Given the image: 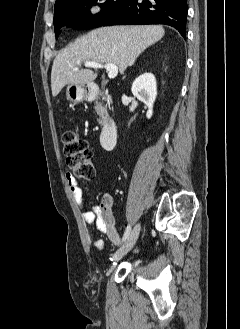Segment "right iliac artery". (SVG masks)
<instances>
[{"label": "right iliac artery", "instance_id": "obj_1", "mask_svg": "<svg viewBox=\"0 0 240 329\" xmlns=\"http://www.w3.org/2000/svg\"><path fill=\"white\" fill-rule=\"evenodd\" d=\"M130 232H131V226L128 225L127 228H126V230H125V233L123 235L122 241H125L128 238Z\"/></svg>", "mask_w": 240, "mask_h": 329}]
</instances>
